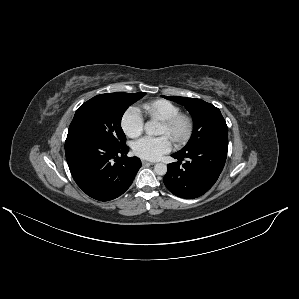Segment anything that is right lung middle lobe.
Listing matches in <instances>:
<instances>
[{
  "mask_svg": "<svg viewBox=\"0 0 299 299\" xmlns=\"http://www.w3.org/2000/svg\"><path fill=\"white\" fill-rule=\"evenodd\" d=\"M146 93L100 94L82 104L69 126L67 138L97 137L116 146L124 145L126 136L121 119L126 109Z\"/></svg>",
  "mask_w": 299,
  "mask_h": 299,
  "instance_id": "dd1d6c3e",
  "label": "right lung middle lobe"
}]
</instances>
